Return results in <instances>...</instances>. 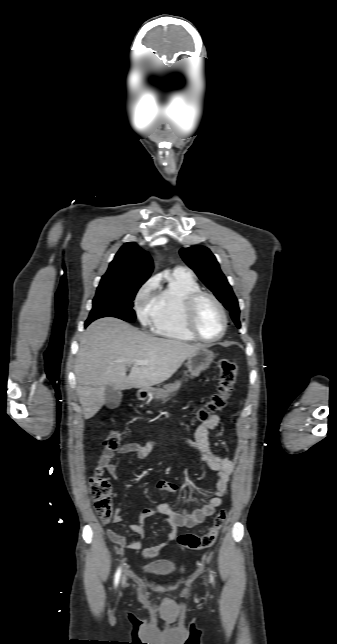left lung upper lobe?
I'll use <instances>...</instances> for the list:
<instances>
[{
  "mask_svg": "<svg viewBox=\"0 0 337 644\" xmlns=\"http://www.w3.org/2000/svg\"><path fill=\"white\" fill-rule=\"evenodd\" d=\"M180 255L217 299L230 311L234 323L240 328L238 301L211 251L203 246H193L182 248Z\"/></svg>",
  "mask_w": 337,
  "mask_h": 644,
  "instance_id": "5c2ea615",
  "label": "left lung upper lobe"
}]
</instances>
